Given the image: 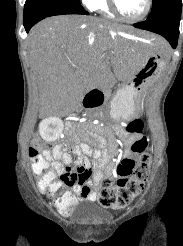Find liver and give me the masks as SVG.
<instances>
[{
    "label": "liver",
    "instance_id": "6515ba94",
    "mask_svg": "<svg viewBox=\"0 0 183 246\" xmlns=\"http://www.w3.org/2000/svg\"><path fill=\"white\" fill-rule=\"evenodd\" d=\"M127 33L147 38L157 51L166 47L152 34L92 16H56L36 24L28 35V53L42 101L65 116L90 90L132 77L143 58L126 38L117 36Z\"/></svg>",
    "mask_w": 183,
    "mask_h": 246
}]
</instances>
